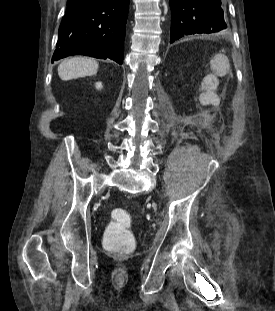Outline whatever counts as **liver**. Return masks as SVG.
<instances>
[{
  "instance_id": "obj_1",
  "label": "liver",
  "mask_w": 275,
  "mask_h": 311,
  "mask_svg": "<svg viewBox=\"0 0 275 311\" xmlns=\"http://www.w3.org/2000/svg\"><path fill=\"white\" fill-rule=\"evenodd\" d=\"M99 64L89 58L73 57L62 61L58 67V75L68 81L79 77L95 75L98 71Z\"/></svg>"
}]
</instances>
